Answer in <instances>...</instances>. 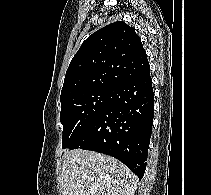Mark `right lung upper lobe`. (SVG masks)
<instances>
[{
  "instance_id": "1",
  "label": "right lung upper lobe",
  "mask_w": 211,
  "mask_h": 195,
  "mask_svg": "<svg viewBox=\"0 0 211 195\" xmlns=\"http://www.w3.org/2000/svg\"><path fill=\"white\" fill-rule=\"evenodd\" d=\"M149 71L135 29L123 21L111 23L82 43L67 69L60 101L89 89H111Z\"/></svg>"
}]
</instances>
